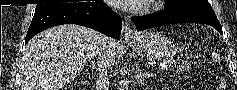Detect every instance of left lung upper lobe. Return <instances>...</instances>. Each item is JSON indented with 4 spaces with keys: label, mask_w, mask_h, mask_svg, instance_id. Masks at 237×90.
<instances>
[{
    "label": "left lung upper lobe",
    "mask_w": 237,
    "mask_h": 90,
    "mask_svg": "<svg viewBox=\"0 0 237 90\" xmlns=\"http://www.w3.org/2000/svg\"><path fill=\"white\" fill-rule=\"evenodd\" d=\"M168 9H187L215 14L207 0H166Z\"/></svg>",
    "instance_id": "1"
}]
</instances>
